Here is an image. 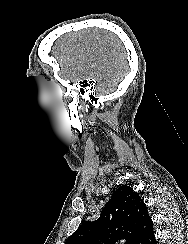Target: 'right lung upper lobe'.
I'll use <instances>...</instances> for the list:
<instances>
[{
    "instance_id": "cb5924a9",
    "label": "right lung upper lobe",
    "mask_w": 188,
    "mask_h": 244,
    "mask_svg": "<svg viewBox=\"0 0 188 244\" xmlns=\"http://www.w3.org/2000/svg\"><path fill=\"white\" fill-rule=\"evenodd\" d=\"M153 226L147 207L127 185L120 186L106 203L97 221L82 224L65 244H140Z\"/></svg>"
}]
</instances>
